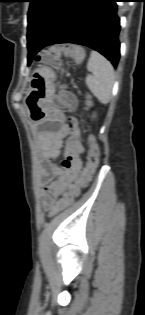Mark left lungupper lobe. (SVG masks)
<instances>
[{"mask_svg":"<svg viewBox=\"0 0 145 315\" xmlns=\"http://www.w3.org/2000/svg\"><path fill=\"white\" fill-rule=\"evenodd\" d=\"M73 0H30L27 36L42 41Z\"/></svg>","mask_w":145,"mask_h":315,"instance_id":"1","label":"left lung upper lobe"}]
</instances>
